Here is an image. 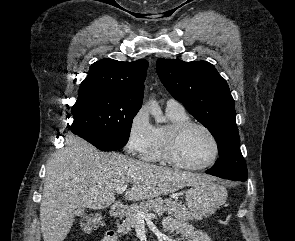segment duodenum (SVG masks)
<instances>
[{
    "label": "duodenum",
    "mask_w": 295,
    "mask_h": 241,
    "mask_svg": "<svg viewBox=\"0 0 295 241\" xmlns=\"http://www.w3.org/2000/svg\"><path fill=\"white\" fill-rule=\"evenodd\" d=\"M124 204L123 203H114L111 205L110 212L113 217H120L124 212Z\"/></svg>",
    "instance_id": "obj_1"
}]
</instances>
